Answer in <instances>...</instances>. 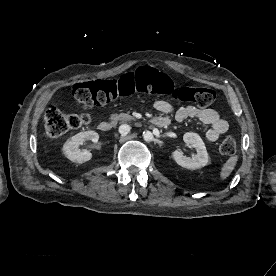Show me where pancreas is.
Masks as SVG:
<instances>
[{"label":"pancreas","instance_id":"1","mask_svg":"<svg viewBox=\"0 0 276 276\" xmlns=\"http://www.w3.org/2000/svg\"><path fill=\"white\" fill-rule=\"evenodd\" d=\"M110 119H111V124L112 125H116L119 121H121L122 123H126V122H129L131 120H134V118L131 115L125 114V113L112 114L110 116Z\"/></svg>","mask_w":276,"mask_h":276}]
</instances>
